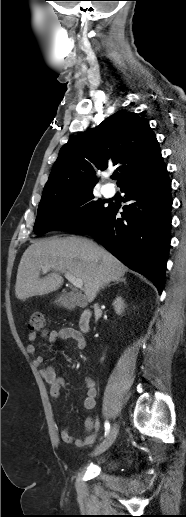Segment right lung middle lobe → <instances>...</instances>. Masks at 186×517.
<instances>
[{
	"mask_svg": "<svg viewBox=\"0 0 186 517\" xmlns=\"http://www.w3.org/2000/svg\"><path fill=\"white\" fill-rule=\"evenodd\" d=\"M105 209L104 201L94 200L93 190L43 200L38 207L34 232L38 236L50 230L76 232L93 222Z\"/></svg>",
	"mask_w": 186,
	"mask_h": 517,
	"instance_id": "1",
	"label": "right lung middle lobe"
}]
</instances>
